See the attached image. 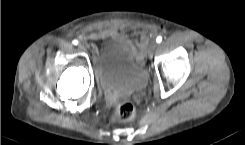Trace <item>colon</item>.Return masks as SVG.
Returning a JSON list of instances; mask_svg holds the SVG:
<instances>
[{
    "instance_id": "5ec220e1",
    "label": "colon",
    "mask_w": 245,
    "mask_h": 145,
    "mask_svg": "<svg viewBox=\"0 0 245 145\" xmlns=\"http://www.w3.org/2000/svg\"><path fill=\"white\" fill-rule=\"evenodd\" d=\"M135 111L136 106L134 102L127 99H120L116 105L114 120L116 122L129 121L134 117Z\"/></svg>"
}]
</instances>
